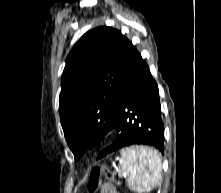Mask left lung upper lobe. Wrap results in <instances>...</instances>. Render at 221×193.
Segmentation results:
<instances>
[{
  "label": "left lung upper lobe",
  "mask_w": 221,
  "mask_h": 193,
  "mask_svg": "<svg viewBox=\"0 0 221 193\" xmlns=\"http://www.w3.org/2000/svg\"><path fill=\"white\" fill-rule=\"evenodd\" d=\"M137 53L111 27L87 32L70 51L62 74L59 113L75 160L114 128L119 89Z\"/></svg>",
  "instance_id": "obj_1"
}]
</instances>
